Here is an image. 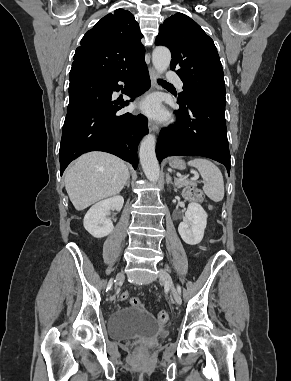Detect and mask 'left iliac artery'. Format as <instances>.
<instances>
[{
	"label": "left iliac artery",
	"mask_w": 291,
	"mask_h": 381,
	"mask_svg": "<svg viewBox=\"0 0 291 381\" xmlns=\"http://www.w3.org/2000/svg\"><path fill=\"white\" fill-rule=\"evenodd\" d=\"M178 292L181 293V287L177 285Z\"/></svg>",
	"instance_id": "1"
}]
</instances>
